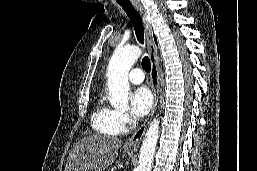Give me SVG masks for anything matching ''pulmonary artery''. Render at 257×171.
Returning <instances> with one entry per match:
<instances>
[{"label":"pulmonary artery","mask_w":257,"mask_h":171,"mask_svg":"<svg viewBox=\"0 0 257 171\" xmlns=\"http://www.w3.org/2000/svg\"><path fill=\"white\" fill-rule=\"evenodd\" d=\"M144 73L139 68L132 69L128 74V79L133 84H140L144 81Z\"/></svg>","instance_id":"e3ab8cb5"}]
</instances>
